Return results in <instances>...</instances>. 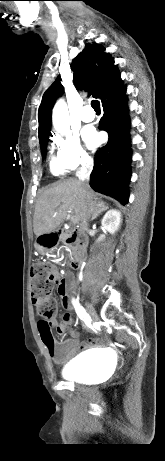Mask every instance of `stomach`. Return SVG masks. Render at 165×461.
<instances>
[{
    "mask_svg": "<svg viewBox=\"0 0 165 461\" xmlns=\"http://www.w3.org/2000/svg\"><path fill=\"white\" fill-rule=\"evenodd\" d=\"M36 249H37L38 251H40L41 253L46 252L45 248H44L43 246H41L40 244H37V245H36Z\"/></svg>",
    "mask_w": 165,
    "mask_h": 461,
    "instance_id": "obj_1",
    "label": "stomach"
}]
</instances>
